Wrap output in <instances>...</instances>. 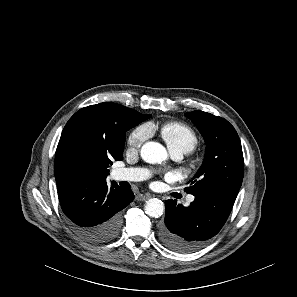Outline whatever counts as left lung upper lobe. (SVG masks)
<instances>
[{
	"instance_id": "obj_1",
	"label": "left lung upper lobe",
	"mask_w": 297,
	"mask_h": 297,
	"mask_svg": "<svg viewBox=\"0 0 297 297\" xmlns=\"http://www.w3.org/2000/svg\"><path fill=\"white\" fill-rule=\"evenodd\" d=\"M206 142L204 161L187 193L237 195L244 175L241 142L234 127L225 119L203 111L186 113Z\"/></svg>"
}]
</instances>
